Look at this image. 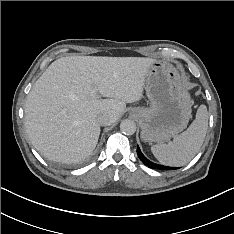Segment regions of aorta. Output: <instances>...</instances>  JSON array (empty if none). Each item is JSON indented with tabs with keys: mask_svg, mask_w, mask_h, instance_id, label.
Listing matches in <instances>:
<instances>
[{
	"mask_svg": "<svg viewBox=\"0 0 234 234\" xmlns=\"http://www.w3.org/2000/svg\"><path fill=\"white\" fill-rule=\"evenodd\" d=\"M120 130L126 135H133L136 132V124L130 119H125L120 124Z\"/></svg>",
	"mask_w": 234,
	"mask_h": 234,
	"instance_id": "762f6f07",
	"label": "aorta"
}]
</instances>
